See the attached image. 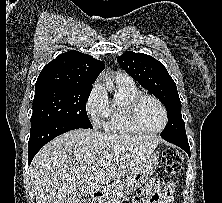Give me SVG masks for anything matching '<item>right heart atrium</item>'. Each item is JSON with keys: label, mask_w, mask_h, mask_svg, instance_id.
<instances>
[{"label": "right heart atrium", "mask_w": 222, "mask_h": 203, "mask_svg": "<svg viewBox=\"0 0 222 203\" xmlns=\"http://www.w3.org/2000/svg\"><path fill=\"white\" fill-rule=\"evenodd\" d=\"M109 100L101 85L96 84L86 102L87 114L95 127L104 124L107 116Z\"/></svg>", "instance_id": "d8ad5b80"}]
</instances>
